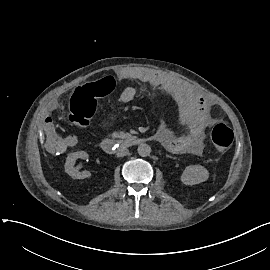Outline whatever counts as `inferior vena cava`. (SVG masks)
<instances>
[{"label":"inferior vena cava","mask_w":270,"mask_h":270,"mask_svg":"<svg viewBox=\"0 0 270 270\" xmlns=\"http://www.w3.org/2000/svg\"><path fill=\"white\" fill-rule=\"evenodd\" d=\"M129 153L128 149H120L117 152V157H124L125 155H127Z\"/></svg>","instance_id":"obj_1"}]
</instances>
